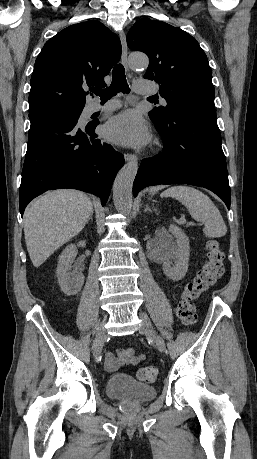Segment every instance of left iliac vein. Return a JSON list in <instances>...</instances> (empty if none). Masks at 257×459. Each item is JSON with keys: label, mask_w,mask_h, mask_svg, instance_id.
<instances>
[{"label": "left iliac vein", "mask_w": 257, "mask_h": 459, "mask_svg": "<svg viewBox=\"0 0 257 459\" xmlns=\"http://www.w3.org/2000/svg\"><path fill=\"white\" fill-rule=\"evenodd\" d=\"M140 317L142 318V324L139 327V332L149 336L154 341L157 349L161 352H164L165 343L163 339L155 332L148 316L145 314H140Z\"/></svg>", "instance_id": "4c4485c4"}]
</instances>
